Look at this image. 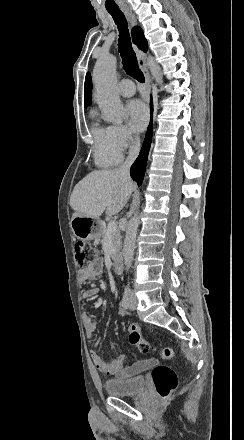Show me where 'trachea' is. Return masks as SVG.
Here are the masks:
<instances>
[{
    "label": "trachea",
    "instance_id": "3493384b",
    "mask_svg": "<svg viewBox=\"0 0 244 440\" xmlns=\"http://www.w3.org/2000/svg\"><path fill=\"white\" fill-rule=\"evenodd\" d=\"M112 15L115 24L120 32L118 40V49L122 57L123 68L128 75L136 78L138 82L144 83L145 78L138 67L137 57L131 45L130 35L128 33L127 21L119 8H107Z\"/></svg>",
    "mask_w": 244,
    "mask_h": 440
}]
</instances>
